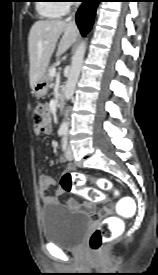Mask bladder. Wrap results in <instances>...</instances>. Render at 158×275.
<instances>
[{
  "instance_id": "bladder-1",
  "label": "bladder",
  "mask_w": 158,
  "mask_h": 275,
  "mask_svg": "<svg viewBox=\"0 0 158 275\" xmlns=\"http://www.w3.org/2000/svg\"><path fill=\"white\" fill-rule=\"evenodd\" d=\"M41 214L44 240L62 249H76L91 222L86 214L69 211L59 204L44 206Z\"/></svg>"
}]
</instances>
